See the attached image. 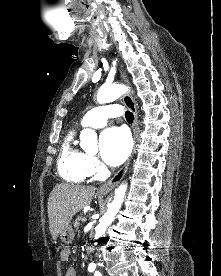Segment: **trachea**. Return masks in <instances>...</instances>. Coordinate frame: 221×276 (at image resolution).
Returning a JSON list of instances; mask_svg holds the SVG:
<instances>
[{
    "label": "trachea",
    "mask_w": 221,
    "mask_h": 276,
    "mask_svg": "<svg viewBox=\"0 0 221 276\" xmlns=\"http://www.w3.org/2000/svg\"><path fill=\"white\" fill-rule=\"evenodd\" d=\"M125 117H126V120H127L129 123H132V122H133L134 115H133V113H131L130 111H126Z\"/></svg>",
    "instance_id": "obj_1"
}]
</instances>
